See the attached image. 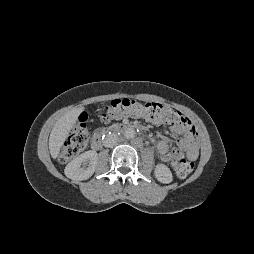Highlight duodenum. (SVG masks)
<instances>
[{"mask_svg": "<svg viewBox=\"0 0 254 254\" xmlns=\"http://www.w3.org/2000/svg\"><path fill=\"white\" fill-rule=\"evenodd\" d=\"M135 125H126V124H116L111 127L115 131H131L136 130ZM102 147V139L100 135H97L92 141V148L94 150H99Z\"/></svg>", "mask_w": 254, "mask_h": 254, "instance_id": "410a0bca", "label": "duodenum"}]
</instances>
